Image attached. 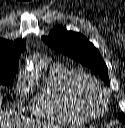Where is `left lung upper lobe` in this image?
<instances>
[{"label":"left lung upper lobe","mask_w":125,"mask_h":128,"mask_svg":"<svg viewBox=\"0 0 125 128\" xmlns=\"http://www.w3.org/2000/svg\"><path fill=\"white\" fill-rule=\"evenodd\" d=\"M47 45L61 53L68 55L91 70L109 84L108 69L99 51L82 34L67 31L62 26H56L48 36L42 37ZM119 120L125 124V115L120 113Z\"/></svg>","instance_id":"obj_1"}]
</instances>
